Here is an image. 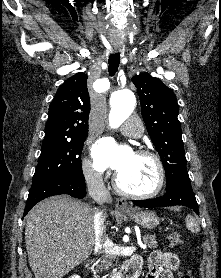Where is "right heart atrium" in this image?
Here are the masks:
<instances>
[{"mask_svg":"<svg viewBox=\"0 0 221 278\" xmlns=\"http://www.w3.org/2000/svg\"><path fill=\"white\" fill-rule=\"evenodd\" d=\"M81 168L83 177L87 182L94 184L101 180V173L88 158L83 159Z\"/></svg>","mask_w":221,"mask_h":278,"instance_id":"obj_1","label":"right heart atrium"}]
</instances>
